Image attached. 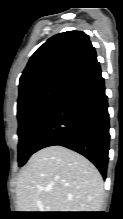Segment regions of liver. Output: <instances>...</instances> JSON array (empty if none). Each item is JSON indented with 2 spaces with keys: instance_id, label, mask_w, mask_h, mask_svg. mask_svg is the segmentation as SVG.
I'll return each mask as SVG.
<instances>
[{
  "instance_id": "6515ba94",
  "label": "liver",
  "mask_w": 123,
  "mask_h": 219,
  "mask_svg": "<svg viewBox=\"0 0 123 219\" xmlns=\"http://www.w3.org/2000/svg\"><path fill=\"white\" fill-rule=\"evenodd\" d=\"M19 212H100L103 179L84 156L54 145L34 153L19 174Z\"/></svg>"
}]
</instances>
